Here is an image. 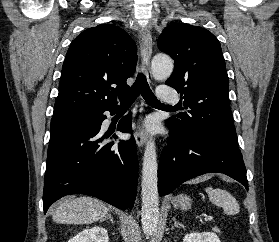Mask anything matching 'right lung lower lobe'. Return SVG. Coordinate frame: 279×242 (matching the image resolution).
I'll return each mask as SVG.
<instances>
[{
	"instance_id": "1",
	"label": "right lung lower lobe",
	"mask_w": 279,
	"mask_h": 242,
	"mask_svg": "<svg viewBox=\"0 0 279 242\" xmlns=\"http://www.w3.org/2000/svg\"><path fill=\"white\" fill-rule=\"evenodd\" d=\"M105 111L89 112L82 125L50 136L44 213L56 200L74 193L97 197L120 209L133 207L138 179L136 143L133 138L118 144L105 142L109 136L100 131ZM117 130L131 132L129 115L119 121Z\"/></svg>"
}]
</instances>
